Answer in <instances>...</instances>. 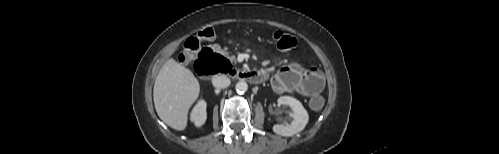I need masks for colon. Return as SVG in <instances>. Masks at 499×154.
Instances as JSON below:
<instances>
[{"label": "colon", "instance_id": "5ec220e1", "mask_svg": "<svg viewBox=\"0 0 499 154\" xmlns=\"http://www.w3.org/2000/svg\"><path fill=\"white\" fill-rule=\"evenodd\" d=\"M213 36L211 29H205L193 37H190L185 43V49L180 54V60L187 62L192 57V52L198 49L199 43L202 40L210 39ZM274 42L277 48L287 54H293L297 47V41L294 37L283 31H276L273 35ZM215 67L217 71L226 72L230 70V63L224 57L217 55L215 58ZM309 105L311 109L318 111L324 105V100L319 95H314L310 98Z\"/></svg>", "mask_w": 499, "mask_h": 154}]
</instances>
